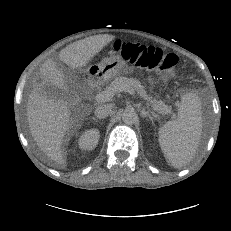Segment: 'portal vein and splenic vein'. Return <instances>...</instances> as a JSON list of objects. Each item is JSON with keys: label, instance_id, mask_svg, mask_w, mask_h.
<instances>
[{"label": "portal vein and splenic vein", "instance_id": "1", "mask_svg": "<svg viewBox=\"0 0 231 231\" xmlns=\"http://www.w3.org/2000/svg\"><path fill=\"white\" fill-rule=\"evenodd\" d=\"M121 91L128 92L129 94H131L134 97L137 96L135 91L131 87H129L128 85H120V86H116L114 88H110L108 90H105V91L98 93L95 96V100L97 102L110 101L113 98V96L115 95V93L121 92Z\"/></svg>", "mask_w": 231, "mask_h": 231}]
</instances>
